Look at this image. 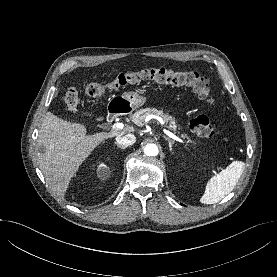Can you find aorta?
<instances>
[{
  "instance_id": "aorta-1",
  "label": "aorta",
  "mask_w": 277,
  "mask_h": 277,
  "mask_svg": "<svg viewBox=\"0 0 277 277\" xmlns=\"http://www.w3.org/2000/svg\"><path fill=\"white\" fill-rule=\"evenodd\" d=\"M144 153L147 156H156L158 155V147L155 144H148L144 148Z\"/></svg>"
}]
</instances>
